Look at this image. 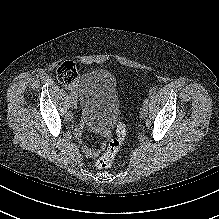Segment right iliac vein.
<instances>
[{
  "label": "right iliac vein",
  "instance_id": "right-iliac-vein-1",
  "mask_svg": "<svg viewBox=\"0 0 219 219\" xmlns=\"http://www.w3.org/2000/svg\"><path fill=\"white\" fill-rule=\"evenodd\" d=\"M70 106L74 110L77 108V101L74 97L71 98Z\"/></svg>",
  "mask_w": 219,
  "mask_h": 219
}]
</instances>
